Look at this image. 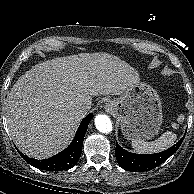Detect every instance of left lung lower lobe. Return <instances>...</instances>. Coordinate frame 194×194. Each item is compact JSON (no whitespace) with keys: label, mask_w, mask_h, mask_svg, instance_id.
<instances>
[{"label":"left lung lower lobe","mask_w":194,"mask_h":194,"mask_svg":"<svg viewBox=\"0 0 194 194\" xmlns=\"http://www.w3.org/2000/svg\"><path fill=\"white\" fill-rule=\"evenodd\" d=\"M184 137L169 149L155 154H134L116 144L115 156L118 164L127 171H147L157 167L174 154L182 144Z\"/></svg>","instance_id":"obj_1"}]
</instances>
